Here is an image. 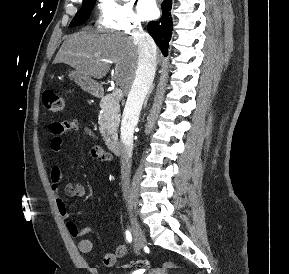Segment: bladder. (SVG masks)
Instances as JSON below:
<instances>
[{"label": "bladder", "instance_id": "bladder-1", "mask_svg": "<svg viewBox=\"0 0 289 274\" xmlns=\"http://www.w3.org/2000/svg\"><path fill=\"white\" fill-rule=\"evenodd\" d=\"M126 274H142V273H140V272H133V273H126Z\"/></svg>", "mask_w": 289, "mask_h": 274}]
</instances>
